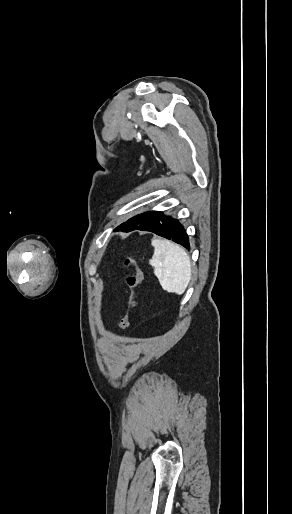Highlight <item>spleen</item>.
Instances as JSON below:
<instances>
[{
  "label": "spleen",
  "instance_id": "1",
  "mask_svg": "<svg viewBox=\"0 0 292 514\" xmlns=\"http://www.w3.org/2000/svg\"><path fill=\"white\" fill-rule=\"evenodd\" d=\"M154 254L149 260L163 290L183 294L191 280V262L185 250L168 240H152Z\"/></svg>",
  "mask_w": 292,
  "mask_h": 514
}]
</instances>
